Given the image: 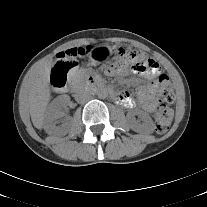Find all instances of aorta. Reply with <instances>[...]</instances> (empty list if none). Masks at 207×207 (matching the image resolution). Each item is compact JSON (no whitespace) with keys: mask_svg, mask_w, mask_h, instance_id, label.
<instances>
[{"mask_svg":"<svg viewBox=\"0 0 207 207\" xmlns=\"http://www.w3.org/2000/svg\"><path fill=\"white\" fill-rule=\"evenodd\" d=\"M97 95L100 99H105L108 96V91L104 88H101L99 89Z\"/></svg>","mask_w":207,"mask_h":207,"instance_id":"obj_1","label":"aorta"}]
</instances>
